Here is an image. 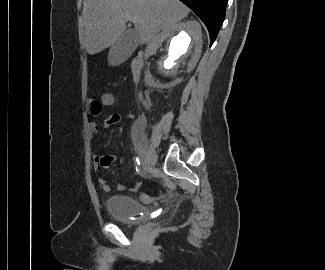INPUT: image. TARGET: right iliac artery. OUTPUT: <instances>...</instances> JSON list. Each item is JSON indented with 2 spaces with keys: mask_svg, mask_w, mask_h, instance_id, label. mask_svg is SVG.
<instances>
[{
  "mask_svg": "<svg viewBox=\"0 0 325 270\" xmlns=\"http://www.w3.org/2000/svg\"><path fill=\"white\" fill-rule=\"evenodd\" d=\"M152 151H153L152 146H149L148 149H147V151H146V159L149 158V156L151 155Z\"/></svg>",
  "mask_w": 325,
  "mask_h": 270,
  "instance_id": "1",
  "label": "right iliac artery"
}]
</instances>
